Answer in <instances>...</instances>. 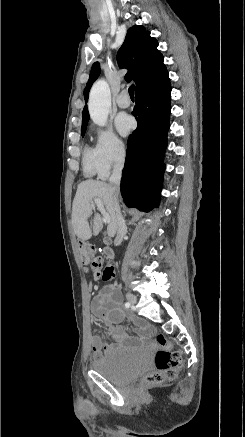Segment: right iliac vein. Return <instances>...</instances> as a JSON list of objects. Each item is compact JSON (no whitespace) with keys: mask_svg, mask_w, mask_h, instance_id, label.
I'll use <instances>...</instances> for the list:
<instances>
[{"mask_svg":"<svg viewBox=\"0 0 245 437\" xmlns=\"http://www.w3.org/2000/svg\"><path fill=\"white\" fill-rule=\"evenodd\" d=\"M126 298L129 301L130 304H136L137 303V297L133 295L132 293H127Z\"/></svg>","mask_w":245,"mask_h":437,"instance_id":"obj_1","label":"right iliac vein"}]
</instances>
